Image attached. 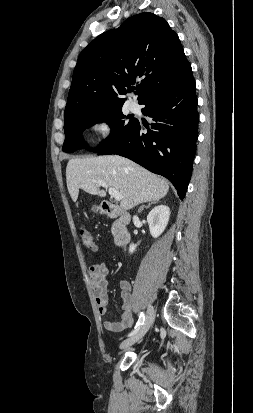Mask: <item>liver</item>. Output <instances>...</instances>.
<instances>
[{
    "label": "liver",
    "mask_w": 253,
    "mask_h": 413,
    "mask_svg": "<svg viewBox=\"0 0 253 413\" xmlns=\"http://www.w3.org/2000/svg\"><path fill=\"white\" fill-rule=\"evenodd\" d=\"M101 180L122 194L120 207L130 210L138 204L158 201L169 190L168 182L135 162L121 156H100L70 159L66 167V181L73 202L77 201L79 189L100 197L95 182Z\"/></svg>",
    "instance_id": "obj_1"
}]
</instances>
